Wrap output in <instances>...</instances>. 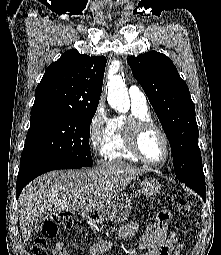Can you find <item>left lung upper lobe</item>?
<instances>
[{
	"label": "left lung upper lobe",
	"instance_id": "left-lung-upper-lobe-1",
	"mask_svg": "<svg viewBox=\"0 0 221 255\" xmlns=\"http://www.w3.org/2000/svg\"><path fill=\"white\" fill-rule=\"evenodd\" d=\"M127 62L169 139L177 178L181 182L205 181L195 106L173 62L157 51L130 57Z\"/></svg>",
	"mask_w": 221,
	"mask_h": 255
}]
</instances>
